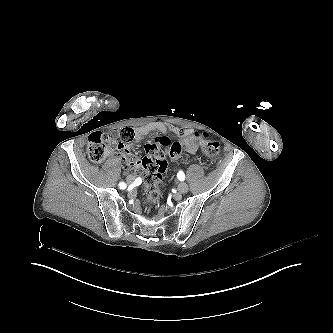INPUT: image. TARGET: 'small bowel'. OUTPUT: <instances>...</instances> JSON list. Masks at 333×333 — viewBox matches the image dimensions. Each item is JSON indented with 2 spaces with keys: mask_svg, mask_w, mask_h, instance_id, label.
Masks as SVG:
<instances>
[{
  "mask_svg": "<svg viewBox=\"0 0 333 333\" xmlns=\"http://www.w3.org/2000/svg\"><path fill=\"white\" fill-rule=\"evenodd\" d=\"M161 133L163 135H175L182 139V143L185 149L190 153H195L197 151V143L204 141H209L212 138V133L210 131H205L203 134L195 133L192 129H185L178 127L173 124H168L164 122H154L146 126L139 127L136 129L137 140H142L149 133ZM120 149V153L117 156V160L123 163L125 169H131L132 173L127 176L128 183L134 185L141 173L140 162L133 158L131 148L125 146L121 141L116 146ZM180 156L173 157V159H178Z\"/></svg>",
  "mask_w": 333,
  "mask_h": 333,
  "instance_id": "c3829d8e",
  "label": "small bowel"
}]
</instances>
